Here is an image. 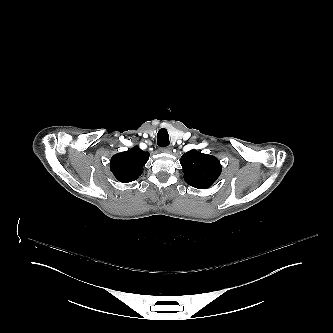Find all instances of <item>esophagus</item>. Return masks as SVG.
<instances>
[{"mask_svg": "<svg viewBox=\"0 0 333 333\" xmlns=\"http://www.w3.org/2000/svg\"><path fill=\"white\" fill-rule=\"evenodd\" d=\"M162 151L165 152V153H171L172 149H171V147L167 146V147H164L162 149Z\"/></svg>", "mask_w": 333, "mask_h": 333, "instance_id": "esophagus-1", "label": "esophagus"}]
</instances>
